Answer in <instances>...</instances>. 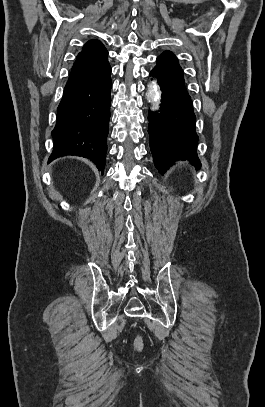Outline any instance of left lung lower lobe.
Segmentation results:
<instances>
[{"mask_svg":"<svg viewBox=\"0 0 265 407\" xmlns=\"http://www.w3.org/2000/svg\"><path fill=\"white\" fill-rule=\"evenodd\" d=\"M156 62L150 76L156 77L161 87V107L160 112L148 114V133L154 163L162 174L178 160H188L199 169L196 117L184 86L183 73L158 58Z\"/></svg>","mask_w":265,"mask_h":407,"instance_id":"1","label":"left lung lower lobe"}]
</instances>
